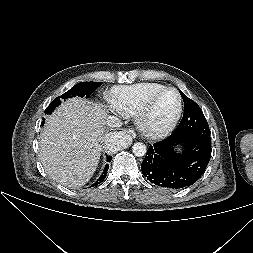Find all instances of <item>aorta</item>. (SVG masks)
I'll return each mask as SVG.
<instances>
[{"instance_id": "aorta-1", "label": "aorta", "mask_w": 253, "mask_h": 253, "mask_svg": "<svg viewBox=\"0 0 253 253\" xmlns=\"http://www.w3.org/2000/svg\"><path fill=\"white\" fill-rule=\"evenodd\" d=\"M132 151L135 156L137 157H143L147 152V147L145 144L137 142L133 145Z\"/></svg>"}]
</instances>
